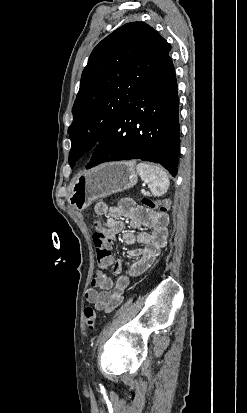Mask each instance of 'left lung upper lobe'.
<instances>
[{
	"mask_svg": "<svg viewBox=\"0 0 247 413\" xmlns=\"http://www.w3.org/2000/svg\"><path fill=\"white\" fill-rule=\"evenodd\" d=\"M170 50L171 45L143 22L121 26L94 48L81 76L68 128L71 167L98 145Z\"/></svg>",
	"mask_w": 247,
	"mask_h": 413,
	"instance_id": "obj_1",
	"label": "left lung upper lobe"
}]
</instances>
